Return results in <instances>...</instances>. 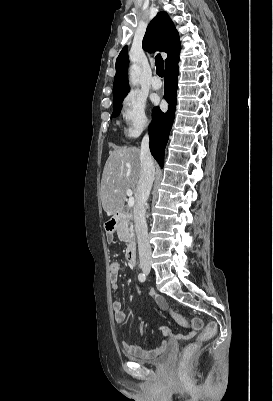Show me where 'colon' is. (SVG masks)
<instances>
[{"label": "colon", "instance_id": "obj_1", "mask_svg": "<svg viewBox=\"0 0 273 401\" xmlns=\"http://www.w3.org/2000/svg\"><path fill=\"white\" fill-rule=\"evenodd\" d=\"M169 313V312H168ZM171 318H176V321H183V318H178V315H171ZM195 328L202 332L200 339L188 340L184 344L180 352V362L177 365L176 372L180 381H192L194 378L193 369L190 365L191 358H198L199 353H202V342H211L216 331L217 322L214 319L209 320L208 326L205 329L199 322H193Z\"/></svg>", "mask_w": 273, "mask_h": 401}]
</instances>
